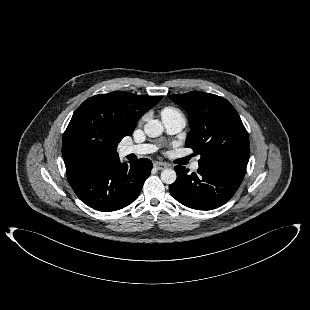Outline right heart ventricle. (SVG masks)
<instances>
[{"label": "right heart ventricle", "mask_w": 310, "mask_h": 310, "mask_svg": "<svg viewBox=\"0 0 310 310\" xmlns=\"http://www.w3.org/2000/svg\"><path fill=\"white\" fill-rule=\"evenodd\" d=\"M182 115L181 112L174 107H165L161 110V116Z\"/></svg>", "instance_id": "e07e8e85"}]
</instances>
